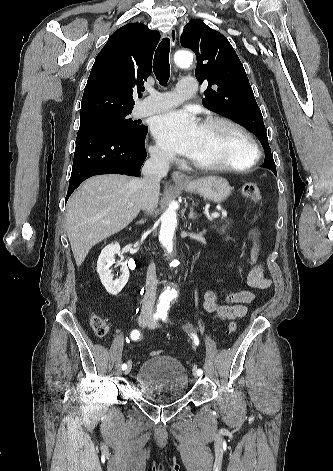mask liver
I'll list each match as a JSON object with an SVG mask.
<instances>
[{
    "label": "liver",
    "instance_id": "1",
    "mask_svg": "<svg viewBox=\"0 0 333 471\" xmlns=\"http://www.w3.org/2000/svg\"><path fill=\"white\" fill-rule=\"evenodd\" d=\"M140 180L118 174L95 176L69 199L66 229L77 266L94 245L136 218L141 208Z\"/></svg>",
    "mask_w": 333,
    "mask_h": 471
}]
</instances>
